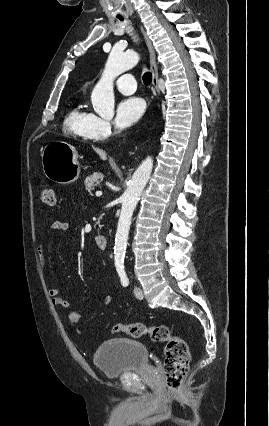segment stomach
<instances>
[{
	"label": "stomach",
	"mask_w": 269,
	"mask_h": 426,
	"mask_svg": "<svg viewBox=\"0 0 269 426\" xmlns=\"http://www.w3.org/2000/svg\"><path fill=\"white\" fill-rule=\"evenodd\" d=\"M79 155L72 145L64 141H52L42 152L45 176L58 184H71L80 175Z\"/></svg>",
	"instance_id": "stomach-1"
}]
</instances>
